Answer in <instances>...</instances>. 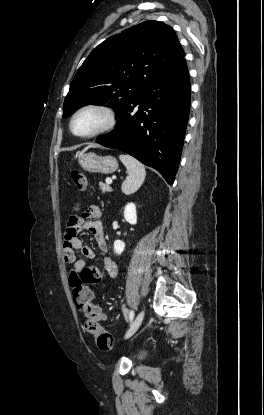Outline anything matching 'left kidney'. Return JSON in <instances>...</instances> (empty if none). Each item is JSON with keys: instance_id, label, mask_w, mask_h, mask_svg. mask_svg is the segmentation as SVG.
Wrapping results in <instances>:
<instances>
[{"instance_id": "1", "label": "left kidney", "mask_w": 264, "mask_h": 415, "mask_svg": "<svg viewBox=\"0 0 264 415\" xmlns=\"http://www.w3.org/2000/svg\"><path fill=\"white\" fill-rule=\"evenodd\" d=\"M124 218L125 220L131 224L135 225L137 223V212L136 206L134 203H128L124 208ZM125 249V243L121 240H116L114 242V252L120 255Z\"/></svg>"}]
</instances>
